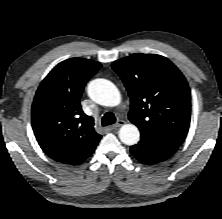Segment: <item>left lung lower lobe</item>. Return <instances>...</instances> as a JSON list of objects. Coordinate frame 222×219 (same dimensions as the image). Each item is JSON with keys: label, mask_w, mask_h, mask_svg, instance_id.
Segmentation results:
<instances>
[{"label": "left lung lower lobe", "mask_w": 222, "mask_h": 219, "mask_svg": "<svg viewBox=\"0 0 222 219\" xmlns=\"http://www.w3.org/2000/svg\"><path fill=\"white\" fill-rule=\"evenodd\" d=\"M178 148L175 144L141 134V140L130 147V152L141 163L150 165L168 159Z\"/></svg>", "instance_id": "0a47b994"}]
</instances>
